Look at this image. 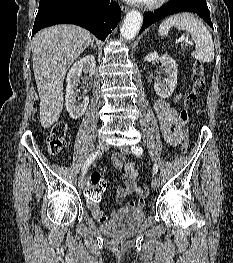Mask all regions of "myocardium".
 I'll use <instances>...</instances> for the list:
<instances>
[{
	"label": "myocardium",
	"mask_w": 233,
	"mask_h": 263,
	"mask_svg": "<svg viewBox=\"0 0 233 263\" xmlns=\"http://www.w3.org/2000/svg\"><path fill=\"white\" fill-rule=\"evenodd\" d=\"M167 0H146L141 2L142 7L146 10H155L160 8Z\"/></svg>",
	"instance_id": "obj_1"
}]
</instances>
